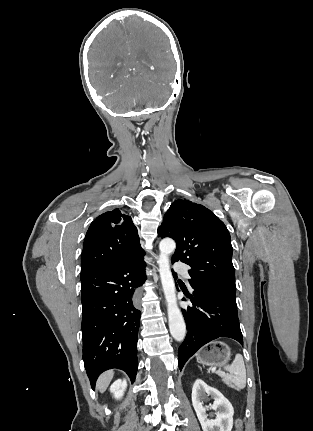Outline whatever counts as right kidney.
<instances>
[{
	"mask_svg": "<svg viewBox=\"0 0 313 431\" xmlns=\"http://www.w3.org/2000/svg\"><path fill=\"white\" fill-rule=\"evenodd\" d=\"M127 383L126 380H116L110 387V392L113 393L116 399H121L126 390Z\"/></svg>",
	"mask_w": 313,
	"mask_h": 431,
	"instance_id": "1",
	"label": "right kidney"
}]
</instances>
